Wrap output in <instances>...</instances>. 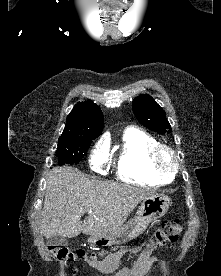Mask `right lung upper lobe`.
<instances>
[{"label": "right lung upper lobe", "mask_w": 221, "mask_h": 276, "mask_svg": "<svg viewBox=\"0 0 221 276\" xmlns=\"http://www.w3.org/2000/svg\"><path fill=\"white\" fill-rule=\"evenodd\" d=\"M103 129V115L91 100L78 102L67 116L64 132L58 141L94 139Z\"/></svg>", "instance_id": "obj_1"}]
</instances>
